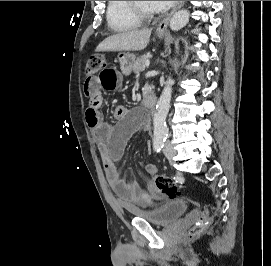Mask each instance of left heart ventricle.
I'll use <instances>...</instances> for the list:
<instances>
[{
	"mask_svg": "<svg viewBox=\"0 0 271 266\" xmlns=\"http://www.w3.org/2000/svg\"><path fill=\"white\" fill-rule=\"evenodd\" d=\"M136 5L139 8H142V9H144L146 11L153 12V10L151 9V6H150V1H136Z\"/></svg>",
	"mask_w": 271,
	"mask_h": 266,
	"instance_id": "obj_1",
	"label": "left heart ventricle"
}]
</instances>
